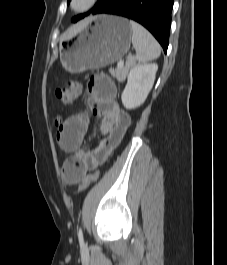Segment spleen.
<instances>
[{
    "label": "spleen",
    "instance_id": "obj_1",
    "mask_svg": "<svg viewBox=\"0 0 227 265\" xmlns=\"http://www.w3.org/2000/svg\"><path fill=\"white\" fill-rule=\"evenodd\" d=\"M132 29V44L136 51V60L146 63L157 59L161 53V47L156 39L143 26L130 20Z\"/></svg>",
    "mask_w": 227,
    "mask_h": 265
}]
</instances>
